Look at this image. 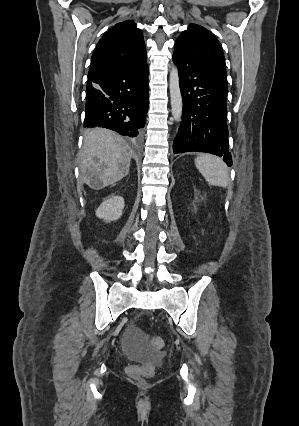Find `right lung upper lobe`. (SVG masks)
<instances>
[{
    "instance_id": "right-lung-upper-lobe-1",
    "label": "right lung upper lobe",
    "mask_w": 299,
    "mask_h": 426,
    "mask_svg": "<svg viewBox=\"0 0 299 426\" xmlns=\"http://www.w3.org/2000/svg\"><path fill=\"white\" fill-rule=\"evenodd\" d=\"M147 61L143 34L132 20L116 24L99 40L88 77L140 66Z\"/></svg>"
}]
</instances>
